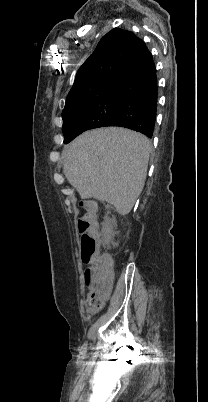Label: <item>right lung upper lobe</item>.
Instances as JSON below:
<instances>
[{
    "label": "right lung upper lobe",
    "instance_id": "right-lung-upper-lobe-1",
    "mask_svg": "<svg viewBox=\"0 0 208 402\" xmlns=\"http://www.w3.org/2000/svg\"><path fill=\"white\" fill-rule=\"evenodd\" d=\"M144 42L132 32L114 28L79 68L68 96L110 82L125 68Z\"/></svg>",
    "mask_w": 208,
    "mask_h": 402
}]
</instances>
